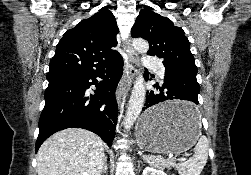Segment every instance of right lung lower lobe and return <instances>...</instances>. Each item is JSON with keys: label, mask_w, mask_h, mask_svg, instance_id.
Instances as JSON below:
<instances>
[{"label": "right lung lower lobe", "mask_w": 251, "mask_h": 175, "mask_svg": "<svg viewBox=\"0 0 251 175\" xmlns=\"http://www.w3.org/2000/svg\"><path fill=\"white\" fill-rule=\"evenodd\" d=\"M122 67L121 58L104 69L48 80L35 151L53 133L70 127L90 130L111 146L118 115L115 91ZM91 85L96 90L89 97L86 89Z\"/></svg>", "instance_id": "obj_1"}]
</instances>
